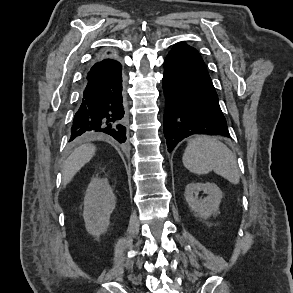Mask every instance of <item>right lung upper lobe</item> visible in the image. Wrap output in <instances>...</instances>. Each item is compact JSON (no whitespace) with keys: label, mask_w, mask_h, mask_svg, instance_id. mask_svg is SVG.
<instances>
[{"label":"right lung upper lobe","mask_w":293,"mask_h":293,"mask_svg":"<svg viewBox=\"0 0 293 293\" xmlns=\"http://www.w3.org/2000/svg\"><path fill=\"white\" fill-rule=\"evenodd\" d=\"M99 58H101V59H114V56L111 52H106L105 54H102Z\"/></svg>","instance_id":"obj_1"}]
</instances>
